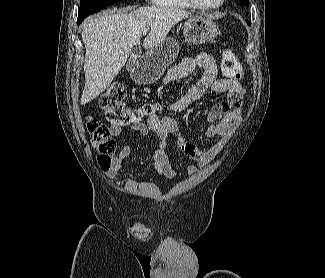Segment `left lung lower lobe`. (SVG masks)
<instances>
[{
	"mask_svg": "<svg viewBox=\"0 0 325 278\" xmlns=\"http://www.w3.org/2000/svg\"><path fill=\"white\" fill-rule=\"evenodd\" d=\"M246 22L248 23V25H250V22L248 20Z\"/></svg>",
	"mask_w": 325,
	"mask_h": 278,
	"instance_id": "left-lung-lower-lobe-1",
	"label": "left lung lower lobe"
}]
</instances>
